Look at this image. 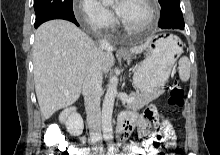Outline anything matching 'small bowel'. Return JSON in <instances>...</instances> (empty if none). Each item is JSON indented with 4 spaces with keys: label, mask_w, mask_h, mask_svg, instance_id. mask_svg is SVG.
<instances>
[{
    "label": "small bowel",
    "mask_w": 220,
    "mask_h": 155,
    "mask_svg": "<svg viewBox=\"0 0 220 155\" xmlns=\"http://www.w3.org/2000/svg\"><path fill=\"white\" fill-rule=\"evenodd\" d=\"M122 120H124L129 127L128 136L136 129L140 138L147 139L151 134L152 125L156 128L154 138L146 140L141 149L136 146H132L130 148V152L133 155L140 153H155V149H153L151 145L154 141H156V135H162L163 138L161 141L163 142L172 141L173 144H175L174 129L170 122L164 119L162 114L159 113L158 105H146V111L143 115H139L137 113H127L122 116Z\"/></svg>",
    "instance_id": "1"
}]
</instances>
